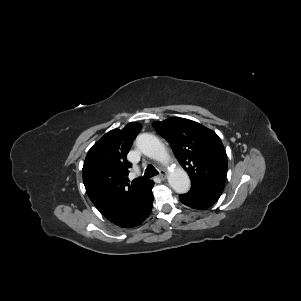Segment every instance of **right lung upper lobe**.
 <instances>
[{"instance_id": "right-lung-upper-lobe-1", "label": "right lung upper lobe", "mask_w": 301, "mask_h": 301, "mask_svg": "<svg viewBox=\"0 0 301 301\" xmlns=\"http://www.w3.org/2000/svg\"><path fill=\"white\" fill-rule=\"evenodd\" d=\"M139 123H129L122 130L106 133L89 150L83 165L86 192L100 213L120 225L137 206L149 181L129 183L126 160L133 140L141 130Z\"/></svg>"}]
</instances>
